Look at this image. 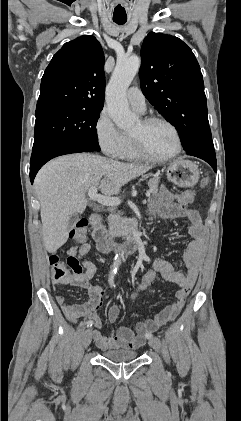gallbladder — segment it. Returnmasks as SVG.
Instances as JSON below:
<instances>
[{
	"mask_svg": "<svg viewBox=\"0 0 241 421\" xmlns=\"http://www.w3.org/2000/svg\"><path fill=\"white\" fill-rule=\"evenodd\" d=\"M78 219H79V216L77 214H73L70 217L69 222H68V230H71V229L74 228V226H75L76 222L78 221Z\"/></svg>",
	"mask_w": 241,
	"mask_h": 421,
	"instance_id": "obj_1",
	"label": "gallbladder"
}]
</instances>
